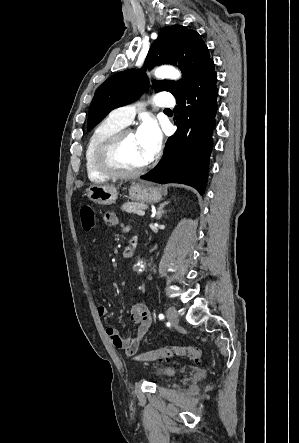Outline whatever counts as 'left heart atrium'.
<instances>
[{
  "label": "left heart atrium",
  "instance_id": "1",
  "mask_svg": "<svg viewBox=\"0 0 299 443\" xmlns=\"http://www.w3.org/2000/svg\"><path fill=\"white\" fill-rule=\"evenodd\" d=\"M136 134L143 148L146 162H150L159 152L162 141L157 122L152 118L145 119Z\"/></svg>",
  "mask_w": 299,
  "mask_h": 443
}]
</instances>
